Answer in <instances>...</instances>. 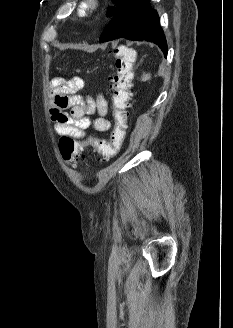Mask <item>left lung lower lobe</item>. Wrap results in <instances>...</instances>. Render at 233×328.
<instances>
[{
	"label": "left lung lower lobe",
	"instance_id": "0a47b994",
	"mask_svg": "<svg viewBox=\"0 0 233 328\" xmlns=\"http://www.w3.org/2000/svg\"><path fill=\"white\" fill-rule=\"evenodd\" d=\"M117 38L155 42L167 55V43L159 17L150 8L149 0H127L110 20L99 40L106 42Z\"/></svg>",
	"mask_w": 233,
	"mask_h": 328
}]
</instances>
